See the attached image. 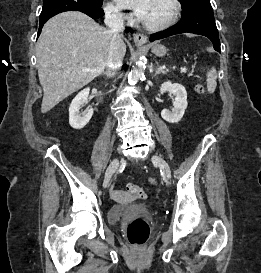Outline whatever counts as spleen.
Segmentation results:
<instances>
[{
    "mask_svg": "<svg viewBox=\"0 0 261 273\" xmlns=\"http://www.w3.org/2000/svg\"><path fill=\"white\" fill-rule=\"evenodd\" d=\"M206 82H207V91L209 93H213L216 89L217 86V72L216 69L214 67H212L206 74Z\"/></svg>",
    "mask_w": 261,
    "mask_h": 273,
    "instance_id": "3e777b00",
    "label": "spleen"
}]
</instances>
